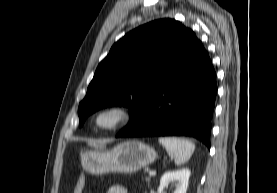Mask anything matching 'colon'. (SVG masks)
I'll use <instances>...</instances> for the list:
<instances>
[{
	"label": "colon",
	"mask_w": 277,
	"mask_h": 193,
	"mask_svg": "<svg viewBox=\"0 0 277 193\" xmlns=\"http://www.w3.org/2000/svg\"><path fill=\"white\" fill-rule=\"evenodd\" d=\"M85 187V177L81 175L76 183L73 193H83Z\"/></svg>",
	"instance_id": "obj_1"
}]
</instances>
